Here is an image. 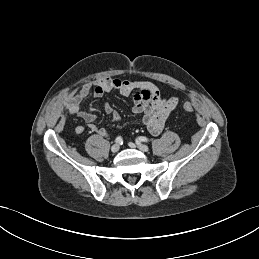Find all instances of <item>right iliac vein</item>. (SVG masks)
Here are the masks:
<instances>
[{"instance_id": "1", "label": "right iliac vein", "mask_w": 259, "mask_h": 259, "mask_svg": "<svg viewBox=\"0 0 259 259\" xmlns=\"http://www.w3.org/2000/svg\"><path fill=\"white\" fill-rule=\"evenodd\" d=\"M119 145L118 144H114L112 147H111V151L113 152V153H116V152H118L119 151Z\"/></svg>"}]
</instances>
